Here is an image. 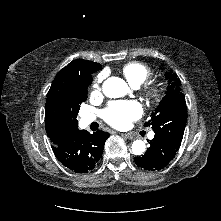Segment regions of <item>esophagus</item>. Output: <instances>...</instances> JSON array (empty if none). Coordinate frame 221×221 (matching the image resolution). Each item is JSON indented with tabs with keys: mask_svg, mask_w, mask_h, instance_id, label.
<instances>
[{
	"mask_svg": "<svg viewBox=\"0 0 221 221\" xmlns=\"http://www.w3.org/2000/svg\"><path fill=\"white\" fill-rule=\"evenodd\" d=\"M121 136L126 139H134V136L130 133H122Z\"/></svg>",
	"mask_w": 221,
	"mask_h": 221,
	"instance_id": "34e87169",
	"label": "esophagus"
}]
</instances>
